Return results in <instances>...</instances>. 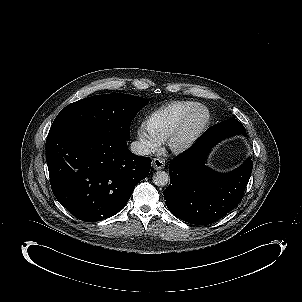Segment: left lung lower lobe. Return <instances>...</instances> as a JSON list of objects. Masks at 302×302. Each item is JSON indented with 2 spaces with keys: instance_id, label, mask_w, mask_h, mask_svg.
<instances>
[{
  "instance_id": "1",
  "label": "left lung lower lobe",
  "mask_w": 302,
  "mask_h": 302,
  "mask_svg": "<svg viewBox=\"0 0 302 302\" xmlns=\"http://www.w3.org/2000/svg\"><path fill=\"white\" fill-rule=\"evenodd\" d=\"M220 140L210 129L171 162L170 184L163 195L168 209L177 218L208 225L224 217L241 201L253 161L249 157L236 170L224 174L206 167V157Z\"/></svg>"
}]
</instances>
